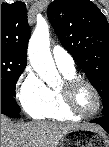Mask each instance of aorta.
<instances>
[{
	"mask_svg": "<svg viewBox=\"0 0 109 147\" xmlns=\"http://www.w3.org/2000/svg\"><path fill=\"white\" fill-rule=\"evenodd\" d=\"M28 57L37 74L49 85L55 86L60 79L50 52L49 26L42 20L31 35Z\"/></svg>",
	"mask_w": 109,
	"mask_h": 147,
	"instance_id": "1",
	"label": "aorta"
}]
</instances>
